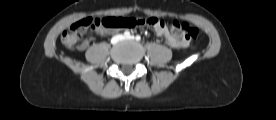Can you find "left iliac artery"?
Here are the masks:
<instances>
[{
	"instance_id": "44dca946",
	"label": "left iliac artery",
	"mask_w": 276,
	"mask_h": 120,
	"mask_svg": "<svg viewBox=\"0 0 276 120\" xmlns=\"http://www.w3.org/2000/svg\"><path fill=\"white\" fill-rule=\"evenodd\" d=\"M136 40L139 41L141 40V37L139 35L136 36Z\"/></svg>"
}]
</instances>
